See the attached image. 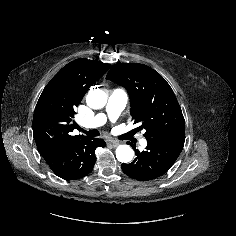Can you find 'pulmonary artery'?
Returning <instances> with one entry per match:
<instances>
[{"instance_id":"e3ab8cb5","label":"pulmonary artery","mask_w":236,"mask_h":236,"mask_svg":"<svg viewBox=\"0 0 236 236\" xmlns=\"http://www.w3.org/2000/svg\"><path fill=\"white\" fill-rule=\"evenodd\" d=\"M127 101V94L121 88H115L110 92L108 103L106 106L105 113H99L90 121L85 123V127L92 128V127H99L105 124L107 120L115 121L121 111L123 110ZM142 146H146L147 142L145 139H141L140 141Z\"/></svg>"}]
</instances>
